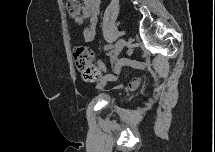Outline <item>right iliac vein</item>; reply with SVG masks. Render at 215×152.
<instances>
[{
  "mask_svg": "<svg viewBox=\"0 0 215 152\" xmlns=\"http://www.w3.org/2000/svg\"><path fill=\"white\" fill-rule=\"evenodd\" d=\"M125 45V41L123 39H120L116 45H115V48L113 50V53L111 55V62L114 63L117 58H118V55L120 54V52L122 51L123 47Z\"/></svg>",
  "mask_w": 215,
  "mask_h": 152,
  "instance_id": "1",
  "label": "right iliac vein"
}]
</instances>
